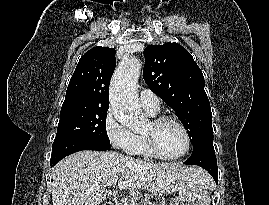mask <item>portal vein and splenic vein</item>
Returning <instances> with one entry per match:
<instances>
[{"label":"portal vein and splenic vein","mask_w":269,"mask_h":205,"mask_svg":"<svg viewBox=\"0 0 269 205\" xmlns=\"http://www.w3.org/2000/svg\"><path fill=\"white\" fill-rule=\"evenodd\" d=\"M117 183V178H113V179H110L106 182V185L107 186H112V185H115Z\"/></svg>","instance_id":"1"}]
</instances>
